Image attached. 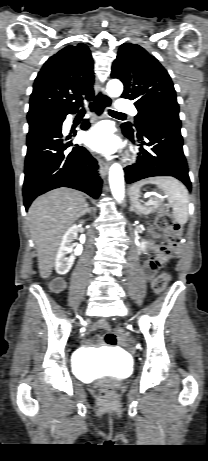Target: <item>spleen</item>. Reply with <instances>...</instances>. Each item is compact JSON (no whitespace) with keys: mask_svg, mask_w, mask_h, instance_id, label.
I'll return each mask as SVG.
<instances>
[{"mask_svg":"<svg viewBox=\"0 0 208 461\" xmlns=\"http://www.w3.org/2000/svg\"><path fill=\"white\" fill-rule=\"evenodd\" d=\"M145 184H155L162 189L168 195V202L173 209L175 221L180 225H184L187 222L189 198L188 191L182 183L173 177L159 176L144 179L133 184L129 192L130 200L141 214H149L151 212L150 208L142 206L139 201L140 188Z\"/></svg>","mask_w":208,"mask_h":461,"instance_id":"obj_1","label":"spleen"}]
</instances>
